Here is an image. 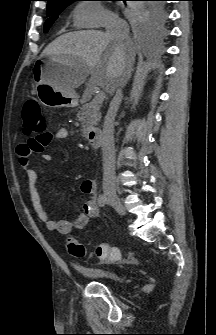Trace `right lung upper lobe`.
<instances>
[{"label": "right lung upper lobe", "mask_w": 216, "mask_h": 335, "mask_svg": "<svg viewBox=\"0 0 216 335\" xmlns=\"http://www.w3.org/2000/svg\"><path fill=\"white\" fill-rule=\"evenodd\" d=\"M48 2L47 5L59 2H67V1H75V0H46Z\"/></svg>", "instance_id": "cb5924a9"}]
</instances>
